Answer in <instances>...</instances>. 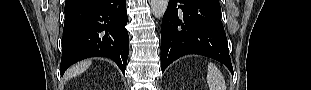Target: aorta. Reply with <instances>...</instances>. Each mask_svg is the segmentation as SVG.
Returning a JSON list of instances; mask_svg holds the SVG:
<instances>
[{"label": "aorta", "instance_id": "762f6f07", "mask_svg": "<svg viewBox=\"0 0 311 90\" xmlns=\"http://www.w3.org/2000/svg\"><path fill=\"white\" fill-rule=\"evenodd\" d=\"M168 0H151V11L156 18H161L166 12Z\"/></svg>", "mask_w": 311, "mask_h": 90}]
</instances>
